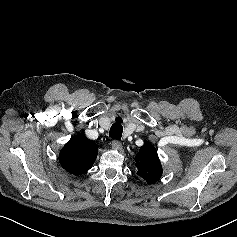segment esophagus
I'll return each instance as SVG.
<instances>
[{"instance_id": "1", "label": "esophagus", "mask_w": 237, "mask_h": 237, "mask_svg": "<svg viewBox=\"0 0 237 237\" xmlns=\"http://www.w3.org/2000/svg\"><path fill=\"white\" fill-rule=\"evenodd\" d=\"M112 146L114 149L121 151L122 150V144L118 140H113L112 141Z\"/></svg>"}]
</instances>
